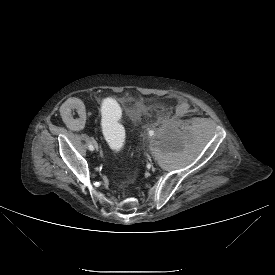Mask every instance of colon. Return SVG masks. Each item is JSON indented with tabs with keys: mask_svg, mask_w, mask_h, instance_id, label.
I'll use <instances>...</instances> for the list:
<instances>
[{
	"mask_svg": "<svg viewBox=\"0 0 275 275\" xmlns=\"http://www.w3.org/2000/svg\"><path fill=\"white\" fill-rule=\"evenodd\" d=\"M105 116L103 117V129L106 141L111 149H119L124 143L122 126L118 120V106L112 102L104 104Z\"/></svg>",
	"mask_w": 275,
	"mask_h": 275,
	"instance_id": "1",
	"label": "colon"
}]
</instances>
